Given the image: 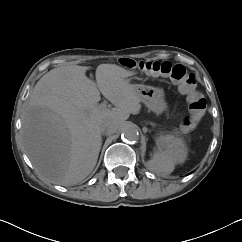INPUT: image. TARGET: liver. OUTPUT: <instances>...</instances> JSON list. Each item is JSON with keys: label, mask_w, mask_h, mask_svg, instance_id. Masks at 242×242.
Returning <instances> with one entry per match:
<instances>
[{"label": "liver", "mask_w": 242, "mask_h": 242, "mask_svg": "<svg viewBox=\"0 0 242 242\" xmlns=\"http://www.w3.org/2000/svg\"><path fill=\"white\" fill-rule=\"evenodd\" d=\"M88 67L66 65L50 70L34 86L22 115V139L38 174L52 183L75 185L94 169L102 144L101 122L124 124L141 110L135 74L116 64H100L96 83ZM100 92L115 107L99 109ZM111 133V134H114Z\"/></svg>", "instance_id": "6515ba94"}]
</instances>
